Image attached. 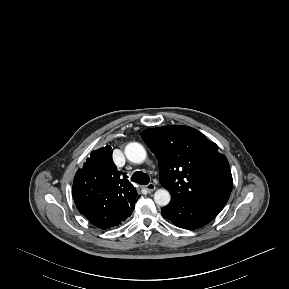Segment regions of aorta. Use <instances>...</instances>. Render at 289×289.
Listing matches in <instances>:
<instances>
[{
    "label": "aorta",
    "mask_w": 289,
    "mask_h": 289,
    "mask_svg": "<svg viewBox=\"0 0 289 289\" xmlns=\"http://www.w3.org/2000/svg\"><path fill=\"white\" fill-rule=\"evenodd\" d=\"M125 154L128 160L137 164L144 162L147 156L145 148L137 142L129 143L125 148ZM170 200V193L166 189H158L154 193V201L159 206L168 205Z\"/></svg>",
    "instance_id": "1"
}]
</instances>
